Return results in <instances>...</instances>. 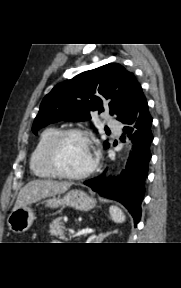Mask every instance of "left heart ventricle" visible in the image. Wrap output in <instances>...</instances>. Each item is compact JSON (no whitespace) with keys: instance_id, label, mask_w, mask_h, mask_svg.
Listing matches in <instances>:
<instances>
[{"instance_id":"b2bd125f","label":"left heart ventricle","mask_w":181,"mask_h":288,"mask_svg":"<svg viewBox=\"0 0 181 288\" xmlns=\"http://www.w3.org/2000/svg\"><path fill=\"white\" fill-rule=\"evenodd\" d=\"M59 161L68 172H83L92 163L90 148L82 138L69 136L60 145Z\"/></svg>"}]
</instances>
